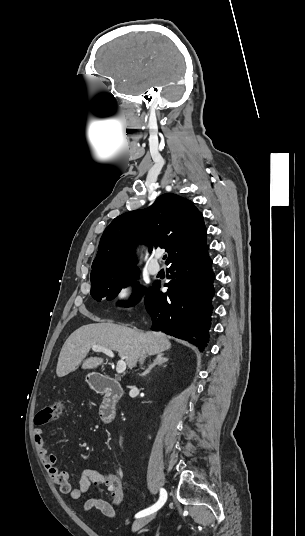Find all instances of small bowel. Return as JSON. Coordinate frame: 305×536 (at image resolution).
<instances>
[{
    "instance_id": "obj_1",
    "label": "small bowel",
    "mask_w": 305,
    "mask_h": 536,
    "mask_svg": "<svg viewBox=\"0 0 305 536\" xmlns=\"http://www.w3.org/2000/svg\"><path fill=\"white\" fill-rule=\"evenodd\" d=\"M33 439L44 469L63 494L68 495L72 500H79L88 492L91 486H94L98 495L85 499L82 504L83 509L85 511L96 509L109 518L116 516L114 505L102 498L104 490L98 487L99 478L97 477L96 470L85 469L82 473L79 486L72 488L69 482V473L57 467V457L49 453L46 448L43 429H34ZM108 491L111 492V490Z\"/></svg>"
}]
</instances>
